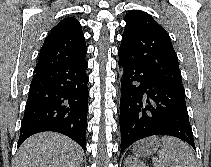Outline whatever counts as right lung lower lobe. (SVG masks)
Masks as SVG:
<instances>
[{
	"mask_svg": "<svg viewBox=\"0 0 211 167\" xmlns=\"http://www.w3.org/2000/svg\"><path fill=\"white\" fill-rule=\"evenodd\" d=\"M88 62L85 57L35 72L21 122L18 146L33 134L62 133L85 151L88 112Z\"/></svg>",
	"mask_w": 211,
	"mask_h": 167,
	"instance_id": "right-lung-lower-lobe-1",
	"label": "right lung lower lobe"
}]
</instances>
